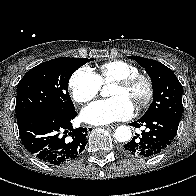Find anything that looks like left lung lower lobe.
Segmentation results:
<instances>
[{
    "label": "left lung lower lobe",
    "mask_w": 196,
    "mask_h": 196,
    "mask_svg": "<svg viewBox=\"0 0 196 196\" xmlns=\"http://www.w3.org/2000/svg\"><path fill=\"white\" fill-rule=\"evenodd\" d=\"M130 125L137 128L144 126L145 130L141 134H136L124 145V153L129 156L147 158L159 154L171 144L179 122L165 115H151L142 116Z\"/></svg>",
    "instance_id": "1"
}]
</instances>
